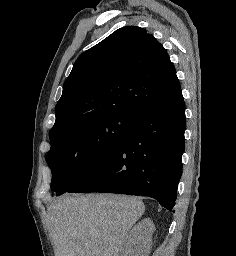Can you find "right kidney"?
<instances>
[{
  "instance_id": "obj_1",
  "label": "right kidney",
  "mask_w": 236,
  "mask_h": 256,
  "mask_svg": "<svg viewBox=\"0 0 236 256\" xmlns=\"http://www.w3.org/2000/svg\"><path fill=\"white\" fill-rule=\"evenodd\" d=\"M153 232H155V226L151 218H144L138 222L127 236L123 256H149Z\"/></svg>"
}]
</instances>
